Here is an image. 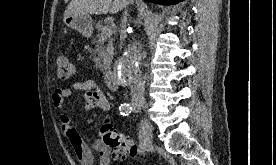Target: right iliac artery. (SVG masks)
I'll use <instances>...</instances> for the list:
<instances>
[{
    "label": "right iliac artery",
    "instance_id": "obj_1",
    "mask_svg": "<svg viewBox=\"0 0 276 165\" xmlns=\"http://www.w3.org/2000/svg\"><path fill=\"white\" fill-rule=\"evenodd\" d=\"M121 115H129L132 112V107L128 103L121 104L119 107ZM140 148L144 152L147 146V131L145 123L142 121L139 130Z\"/></svg>",
    "mask_w": 276,
    "mask_h": 165
}]
</instances>
